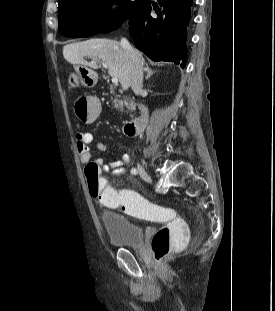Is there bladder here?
I'll use <instances>...</instances> for the list:
<instances>
[{"label": "bladder", "mask_w": 275, "mask_h": 311, "mask_svg": "<svg viewBox=\"0 0 275 311\" xmlns=\"http://www.w3.org/2000/svg\"><path fill=\"white\" fill-rule=\"evenodd\" d=\"M102 227L110 243L115 247L138 248L143 243L144 232L138 224L117 211H103L100 214Z\"/></svg>", "instance_id": "obj_1"}]
</instances>
